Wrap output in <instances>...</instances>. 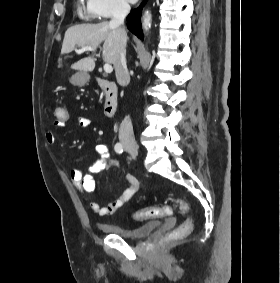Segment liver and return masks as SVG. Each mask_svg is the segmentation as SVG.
<instances>
[{
	"mask_svg": "<svg viewBox=\"0 0 280 283\" xmlns=\"http://www.w3.org/2000/svg\"><path fill=\"white\" fill-rule=\"evenodd\" d=\"M127 34L123 30L111 26L108 22L97 24L75 25L65 32L61 54L70 53L75 46H91L96 50L103 42L102 56L106 63L115 68L121 49L126 46ZM62 59L59 58L60 66ZM71 68L79 71H93L95 61L92 56L85 57L71 65Z\"/></svg>",
	"mask_w": 280,
	"mask_h": 283,
	"instance_id": "6515ba94",
	"label": "liver"
}]
</instances>
